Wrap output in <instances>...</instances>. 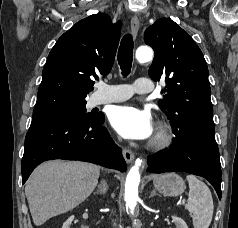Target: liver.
<instances>
[{
  "label": "liver",
  "mask_w": 238,
  "mask_h": 228,
  "mask_svg": "<svg viewBox=\"0 0 238 228\" xmlns=\"http://www.w3.org/2000/svg\"><path fill=\"white\" fill-rule=\"evenodd\" d=\"M100 167L79 161H48L31 174L25 187L36 226L82 203L95 189Z\"/></svg>",
  "instance_id": "1"
}]
</instances>
